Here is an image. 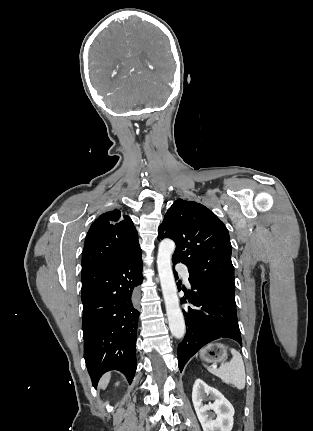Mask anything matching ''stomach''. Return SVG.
Returning <instances> with one entry per match:
<instances>
[{
	"label": "stomach",
	"mask_w": 313,
	"mask_h": 431,
	"mask_svg": "<svg viewBox=\"0 0 313 431\" xmlns=\"http://www.w3.org/2000/svg\"><path fill=\"white\" fill-rule=\"evenodd\" d=\"M201 358L209 363L223 362L227 358V348L221 344L214 345L209 351L204 350Z\"/></svg>",
	"instance_id": "1"
}]
</instances>
